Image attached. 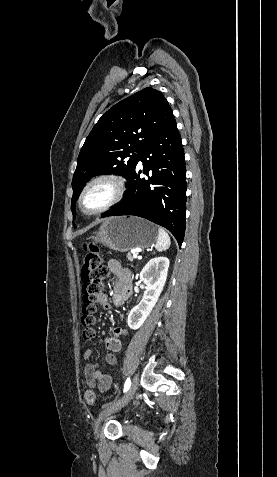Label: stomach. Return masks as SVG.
I'll list each match as a JSON object with an SVG mask.
<instances>
[{"mask_svg": "<svg viewBox=\"0 0 277 477\" xmlns=\"http://www.w3.org/2000/svg\"><path fill=\"white\" fill-rule=\"evenodd\" d=\"M158 231L151 222L135 216H116L106 219L92 239L119 252L152 246Z\"/></svg>", "mask_w": 277, "mask_h": 477, "instance_id": "0dacf381", "label": "stomach"}]
</instances>
